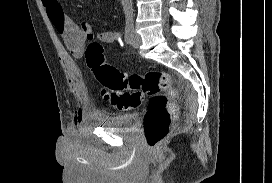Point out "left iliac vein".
Segmentation results:
<instances>
[{
	"label": "left iliac vein",
	"mask_w": 272,
	"mask_h": 183,
	"mask_svg": "<svg viewBox=\"0 0 272 183\" xmlns=\"http://www.w3.org/2000/svg\"><path fill=\"white\" fill-rule=\"evenodd\" d=\"M141 43V38L140 36L136 33V31H133V37H132V41L131 44L134 48H138L139 45Z\"/></svg>",
	"instance_id": "obj_1"
}]
</instances>
